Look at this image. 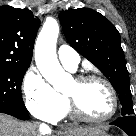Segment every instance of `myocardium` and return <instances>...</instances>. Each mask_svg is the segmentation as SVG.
<instances>
[{"instance_id":"f54148a6","label":"myocardium","mask_w":136,"mask_h":136,"mask_svg":"<svg viewBox=\"0 0 136 136\" xmlns=\"http://www.w3.org/2000/svg\"><path fill=\"white\" fill-rule=\"evenodd\" d=\"M74 81L78 85H84V84H86L88 82H92V81L101 82L107 87V89L111 95V99H112L111 111L104 117L93 118V117H89L85 113H83V111L80 109V107L74 97H72L68 94H65L69 111L71 112V114L75 118H77L81 121L87 122V123L100 124V123H104L114 117V115L117 113V110H118L119 101H118L117 92H116L114 86L111 84V82L108 79H106L103 76L96 75V74H86V75L77 76Z\"/></svg>"}]
</instances>
